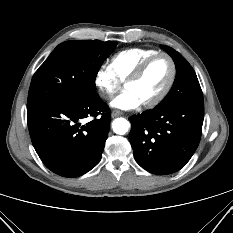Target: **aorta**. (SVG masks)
Instances as JSON below:
<instances>
[{
  "label": "aorta",
  "instance_id": "762f6f07",
  "mask_svg": "<svg viewBox=\"0 0 233 233\" xmlns=\"http://www.w3.org/2000/svg\"><path fill=\"white\" fill-rule=\"evenodd\" d=\"M113 131L116 134L124 135L130 128V123L125 118H117L112 123Z\"/></svg>",
  "mask_w": 233,
  "mask_h": 233
}]
</instances>
